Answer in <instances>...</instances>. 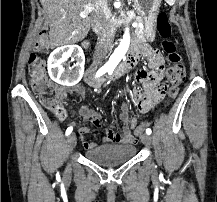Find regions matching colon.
I'll return each mask as SVG.
<instances>
[{
	"instance_id": "obj_1",
	"label": "colon",
	"mask_w": 217,
	"mask_h": 202,
	"mask_svg": "<svg viewBox=\"0 0 217 202\" xmlns=\"http://www.w3.org/2000/svg\"><path fill=\"white\" fill-rule=\"evenodd\" d=\"M157 29L161 37V46L163 53L166 55L171 65L163 70L158 71V74H167L165 82H169L171 89L168 90V102L174 100L178 94L179 86L174 85L181 83L187 79L186 65L182 55L177 50L175 43L170 39L172 26L168 19L167 12L162 10L157 15ZM52 40L51 36H36V41H40V46H49ZM38 44L35 46L34 52L29 56L28 74L33 91L40 97V102L50 108V111H61L62 103H66L65 93H55L53 87L54 80H47V73H43V68H50L51 64L46 63L45 59H40L36 54H41V49ZM36 52V53H35ZM145 79V78H144ZM179 81V82H178ZM162 96H143L142 102H157ZM139 127L133 131L134 138H140L145 132L143 128H148L150 125L140 123Z\"/></svg>"
}]
</instances>
